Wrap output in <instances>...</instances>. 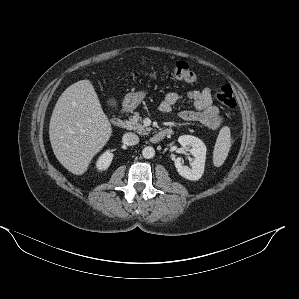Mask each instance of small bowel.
Segmentation results:
<instances>
[{
	"label": "small bowel",
	"instance_id": "c3829d8e",
	"mask_svg": "<svg viewBox=\"0 0 299 299\" xmlns=\"http://www.w3.org/2000/svg\"><path fill=\"white\" fill-rule=\"evenodd\" d=\"M187 99L193 104L194 110H184L180 117L184 121L198 122L203 126L217 130L224 122L219 114V109L213 104L211 90H193L188 92ZM181 101L180 96L175 92H168L159 105L163 113H170Z\"/></svg>",
	"mask_w": 299,
	"mask_h": 299
}]
</instances>
